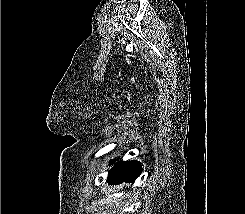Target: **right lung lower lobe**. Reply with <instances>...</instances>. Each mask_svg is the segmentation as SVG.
<instances>
[{"label":"right lung lower lobe","instance_id":"obj_1","mask_svg":"<svg viewBox=\"0 0 245 214\" xmlns=\"http://www.w3.org/2000/svg\"><path fill=\"white\" fill-rule=\"evenodd\" d=\"M117 165L107 177V182L111 185L132 182L141 174L142 166L138 161H122Z\"/></svg>","mask_w":245,"mask_h":214}]
</instances>
